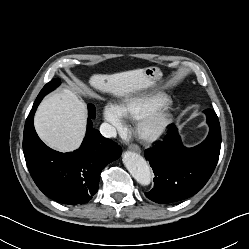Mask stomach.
Segmentation results:
<instances>
[{
    "instance_id": "stomach-1",
    "label": "stomach",
    "mask_w": 249,
    "mask_h": 249,
    "mask_svg": "<svg viewBox=\"0 0 249 249\" xmlns=\"http://www.w3.org/2000/svg\"><path fill=\"white\" fill-rule=\"evenodd\" d=\"M145 76L152 82H156L160 80L162 74L159 68L150 66V67H145L142 69Z\"/></svg>"
}]
</instances>
